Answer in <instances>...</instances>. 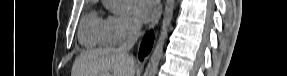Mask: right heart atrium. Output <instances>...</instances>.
<instances>
[{
	"mask_svg": "<svg viewBox=\"0 0 287 76\" xmlns=\"http://www.w3.org/2000/svg\"><path fill=\"white\" fill-rule=\"evenodd\" d=\"M109 39L112 43L123 42L139 30L138 22L127 14H114L105 20Z\"/></svg>",
	"mask_w": 287,
	"mask_h": 76,
	"instance_id": "right-heart-atrium-1",
	"label": "right heart atrium"
}]
</instances>
